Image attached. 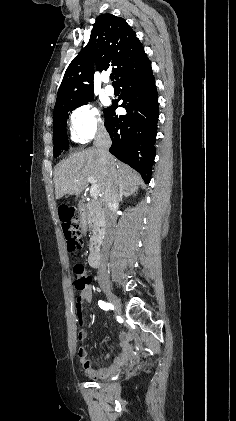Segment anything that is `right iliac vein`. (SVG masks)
Wrapping results in <instances>:
<instances>
[{
  "mask_svg": "<svg viewBox=\"0 0 236 421\" xmlns=\"http://www.w3.org/2000/svg\"><path fill=\"white\" fill-rule=\"evenodd\" d=\"M103 287H104V292H105L106 297L108 298L109 302L114 307L116 313L120 314L121 313V303H120L119 299L114 295L111 288L105 286V284H103Z\"/></svg>",
  "mask_w": 236,
  "mask_h": 421,
  "instance_id": "obj_1",
  "label": "right iliac vein"
}]
</instances>
